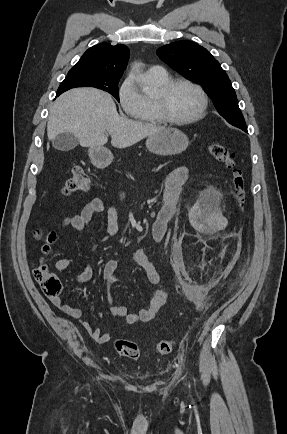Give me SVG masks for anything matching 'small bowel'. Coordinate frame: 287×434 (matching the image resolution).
I'll return each mask as SVG.
<instances>
[{"label":"small bowel","mask_w":287,"mask_h":434,"mask_svg":"<svg viewBox=\"0 0 287 434\" xmlns=\"http://www.w3.org/2000/svg\"><path fill=\"white\" fill-rule=\"evenodd\" d=\"M187 182L188 170L184 166L174 168L166 176L163 198L158 207L157 217L152 228V236L156 242L164 241L169 222L176 213L178 200ZM95 214L104 217L106 221V232L102 238L92 239L90 241L92 253L95 252L99 242L115 237L119 233L117 207H106L102 199L94 198L84 206L79 214L69 216L63 222L65 227H71L80 233H84L88 230ZM131 258L133 263L143 270L149 283L155 285L161 283V274L142 249L134 250ZM68 265L69 261L63 258L57 259L54 264L55 269L60 272L66 270ZM118 266L119 260L113 258L108 260L103 268L102 275L110 284L115 282V271ZM93 272L92 263H88L83 271L75 275L74 279L78 283L88 282L92 278ZM167 299L168 293L165 290L158 289L151 294L146 308L139 313H129L125 306L118 304L111 296L110 311L114 315L123 316L125 318L123 325L129 326L137 322H148L152 320L159 309L166 303ZM51 300L66 315L78 319L81 325L98 343L105 344L110 340L111 336L109 333L102 332L100 328H93L82 320L83 312L81 309L70 306L60 297L51 298Z\"/></svg>","instance_id":"1"}]
</instances>
